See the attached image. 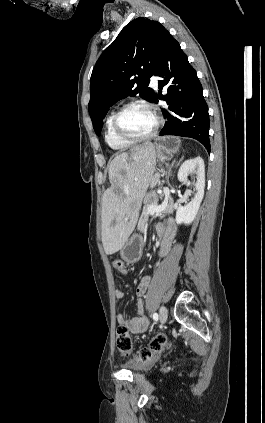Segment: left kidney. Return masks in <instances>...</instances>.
I'll return each instance as SVG.
<instances>
[{"label": "left kidney", "instance_id": "left-kidney-1", "mask_svg": "<svg viewBox=\"0 0 265 423\" xmlns=\"http://www.w3.org/2000/svg\"><path fill=\"white\" fill-rule=\"evenodd\" d=\"M195 174L196 182L194 198L185 206H179L176 211V223L177 224H191L200 208V204L204 197L205 188V165L201 157H195L188 159L182 163L178 171V180L184 185H190L188 176Z\"/></svg>", "mask_w": 265, "mask_h": 423}]
</instances>
